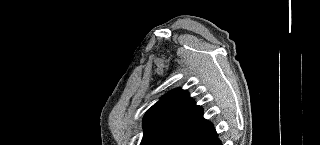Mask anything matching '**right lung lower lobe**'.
Segmentation results:
<instances>
[{
    "mask_svg": "<svg viewBox=\"0 0 320 145\" xmlns=\"http://www.w3.org/2000/svg\"><path fill=\"white\" fill-rule=\"evenodd\" d=\"M168 145H222L212 125L207 122L175 135Z\"/></svg>",
    "mask_w": 320,
    "mask_h": 145,
    "instance_id": "right-lung-lower-lobe-1",
    "label": "right lung lower lobe"
}]
</instances>
